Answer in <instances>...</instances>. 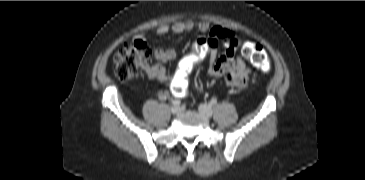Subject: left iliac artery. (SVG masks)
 <instances>
[{"label": "left iliac artery", "instance_id": "44dca946", "mask_svg": "<svg viewBox=\"0 0 365 180\" xmlns=\"http://www.w3.org/2000/svg\"><path fill=\"white\" fill-rule=\"evenodd\" d=\"M217 103V100L215 98H213L211 101H210V104L211 105H215Z\"/></svg>", "mask_w": 365, "mask_h": 180}]
</instances>
